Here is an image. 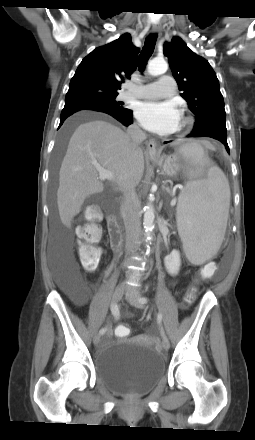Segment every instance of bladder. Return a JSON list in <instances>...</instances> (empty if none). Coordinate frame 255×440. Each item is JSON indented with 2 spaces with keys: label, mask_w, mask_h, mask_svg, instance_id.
I'll return each instance as SVG.
<instances>
[{
  "label": "bladder",
  "mask_w": 255,
  "mask_h": 440,
  "mask_svg": "<svg viewBox=\"0 0 255 440\" xmlns=\"http://www.w3.org/2000/svg\"><path fill=\"white\" fill-rule=\"evenodd\" d=\"M98 380L108 389L125 394L147 393L163 377L161 354L135 338L109 341L96 357Z\"/></svg>",
  "instance_id": "bladder-1"
}]
</instances>
